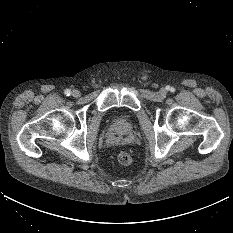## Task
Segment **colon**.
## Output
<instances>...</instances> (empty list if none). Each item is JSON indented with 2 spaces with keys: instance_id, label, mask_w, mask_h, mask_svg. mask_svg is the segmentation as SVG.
<instances>
[{
  "instance_id": "5ec220e1",
  "label": "colon",
  "mask_w": 233,
  "mask_h": 233,
  "mask_svg": "<svg viewBox=\"0 0 233 233\" xmlns=\"http://www.w3.org/2000/svg\"><path fill=\"white\" fill-rule=\"evenodd\" d=\"M117 160L122 165H129L132 162V156L127 151H121L117 156Z\"/></svg>"
}]
</instances>
